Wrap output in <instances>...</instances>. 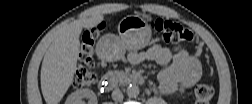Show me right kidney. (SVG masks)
I'll return each instance as SVG.
<instances>
[{
  "label": "right kidney",
  "instance_id": "ca27d5eb",
  "mask_svg": "<svg viewBox=\"0 0 252 104\" xmlns=\"http://www.w3.org/2000/svg\"><path fill=\"white\" fill-rule=\"evenodd\" d=\"M87 97L91 100L92 103L97 102V97L95 93L91 90L83 89L78 90L70 94L66 100L67 104H82L83 99Z\"/></svg>",
  "mask_w": 252,
  "mask_h": 104
}]
</instances>
